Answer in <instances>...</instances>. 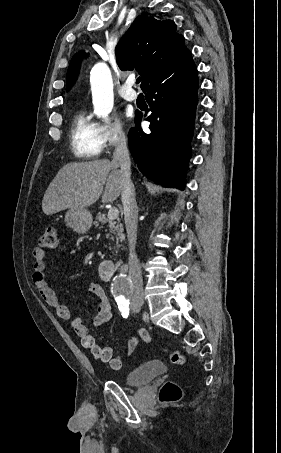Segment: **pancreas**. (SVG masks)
<instances>
[{"label": "pancreas", "mask_w": 281, "mask_h": 453, "mask_svg": "<svg viewBox=\"0 0 281 453\" xmlns=\"http://www.w3.org/2000/svg\"><path fill=\"white\" fill-rule=\"evenodd\" d=\"M99 222L101 224H106L108 222V229L110 233H113L115 237H117V241H124L125 235L123 233V224L120 222V218H116V220H109V218H106L105 214H102V212H97L96 220L94 224H96V227H99ZM111 239H113L111 235Z\"/></svg>", "instance_id": "obj_1"}]
</instances>
